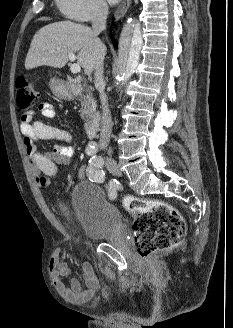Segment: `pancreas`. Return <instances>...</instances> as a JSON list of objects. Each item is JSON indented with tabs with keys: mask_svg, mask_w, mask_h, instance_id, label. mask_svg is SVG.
I'll return each mask as SVG.
<instances>
[{
	"mask_svg": "<svg viewBox=\"0 0 233 328\" xmlns=\"http://www.w3.org/2000/svg\"><path fill=\"white\" fill-rule=\"evenodd\" d=\"M81 117L87 121L96 115V101L92 93L86 89L85 94L80 96Z\"/></svg>",
	"mask_w": 233,
	"mask_h": 328,
	"instance_id": "cf45deb5",
	"label": "pancreas"
}]
</instances>
